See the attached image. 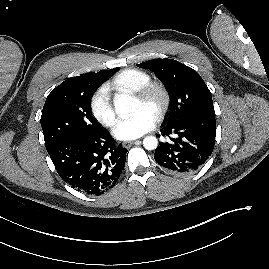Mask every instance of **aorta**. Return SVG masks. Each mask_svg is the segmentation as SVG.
<instances>
[{
  "instance_id": "aorta-1",
  "label": "aorta",
  "mask_w": 269,
  "mask_h": 269,
  "mask_svg": "<svg viewBox=\"0 0 269 269\" xmlns=\"http://www.w3.org/2000/svg\"><path fill=\"white\" fill-rule=\"evenodd\" d=\"M115 111L119 117L127 119L137 107V101L127 94L116 95L114 97ZM143 146L147 150H154L158 146L155 136H147L143 140Z\"/></svg>"
}]
</instances>
